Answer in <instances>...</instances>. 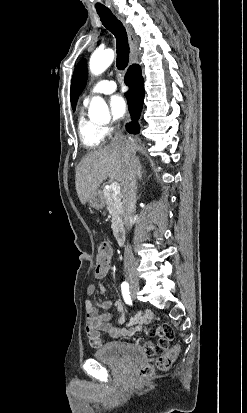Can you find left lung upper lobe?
<instances>
[{"instance_id": "left-lung-upper-lobe-1", "label": "left lung upper lobe", "mask_w": 247, "mask_h": 413, "mask_svg": "<svg viewBox=\"0 0 247 413\" xmlns=\"http://www.w3.org/2000/svg\"><path fill=\"white\" fill-rule=\"evenodd\" d=\"M87 81V65L86 60H81L73 73L71 81V105L73 110L76 108V103L79 95L83 91Z\"/></svg>"}]
</instances>
